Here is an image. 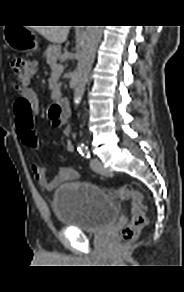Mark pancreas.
<instances>
[{
  "mask_svg": "<svg viewBox=\"0 0 184 292\" xmlns=\"http://www.w3.org/2000/svg\"><path fill=\"white\" fill-rule=\"evenodd\" d=\"M61 54V46L60 45H50L47 47L45 55L46 61L51 67L52 71H54L57 66V60L60 58Z\"/></svg>",
  "mask_w": 184,
  "mask_h": 292,
  "instance_id": "cf45deb5",
  "label": "pancreas"
}]
</instances>
